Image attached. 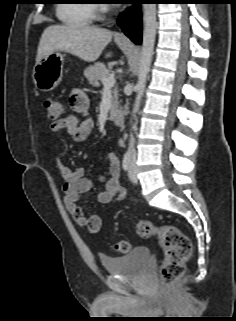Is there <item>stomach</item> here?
<instances>
[{"mask_svg":"<svg viewBox=\"0 0 236 321\" xmlns=\"http://www.w3.org/2000/svg\"><path fill=\"white\" fill-rule=\"evenodd\" d=\"M64 55L55 51L41 58L33 69V82L42 92H49L56 88L62 79Z\"/></svg>","mask_w":236,"mask_h":321,"instance_id":"stomach-1","label":"stomach"}]
</instances>
